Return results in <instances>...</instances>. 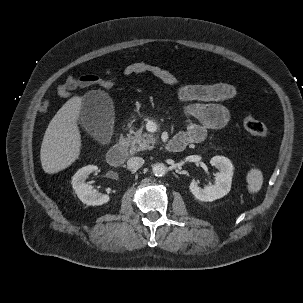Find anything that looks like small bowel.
Wrapping results in <instances>:
<instances>
[{"label":"small bowel","instance_id":"small-bowel-1","mask_svg":"<svg viewBox=\"0 0 303 303\" xmlns=\"http://www.w3.org/2000/svg\"><path fill=\"white\" fill-rule=\"evenodd\" d=\"M123 74L125 76L148 74L162 83L176 87L177 96L183 104V113L186 117V126L180 137L188 144L198 143L205 139L208 130L225 128L231 122L229 110L220 102L233 99L237 88L226 82L214 84H184L179 76L168 69L146 62H135L127 65ZM106 75H111L106 71ZM88 86H101V78L92 75H69L57 86V94L62 98H71L73 91ZM49 106L48 100L41 104V110Z\"/></svg>","mask_w":303,"mask_h":303}]
</instances>
